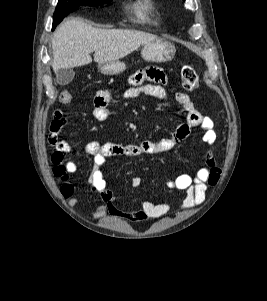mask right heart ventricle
I'll return each instance as SVG.
<instances>
[{
  "mask_svg": "<svg viewBox=\"0 0 267 301\" xmlns=\"http://www.w3.org/2000/svg\"><path fill=\"white\" fill-rule=\"evenodd\" d=\"M133 9L138 19L149 22L153 20L155 4L152 0H139Z\"/></svg>",
  "mask_w": 267,
  "mask_h": 301,
  "instance_id": "right-heart-ventricle-1",
  "label": "right heart ventricle"
}]
</instances>
